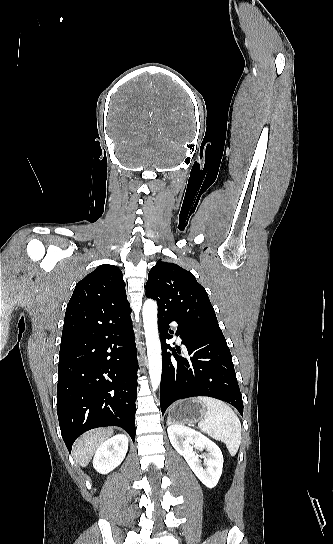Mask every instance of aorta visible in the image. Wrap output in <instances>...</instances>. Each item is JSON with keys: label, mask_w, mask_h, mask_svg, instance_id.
I'll return each instance as SVG.
<instances>
[{"label": "aorta", "mask_w": 333, "mask_h": 544, "mask_svg": "<svg viewBox=\"0 0 333 544\" xmlns=\"http://www.w3.org/2000/svg\"><path fill=\"white\" fill-rule=\"evenodd\" d=\"M157 308V303L152 299H148L145 301L142 310L149 361V375L151 386L154 391L160 384L162 374L161 344L157 327Z\"/></svg>", "instance_id": "obj_1"}]
</instances>
